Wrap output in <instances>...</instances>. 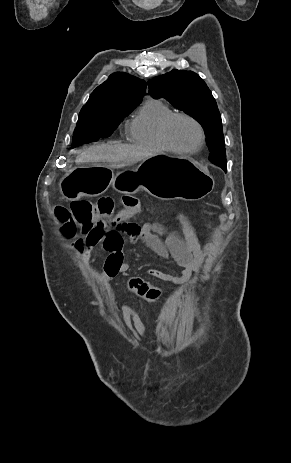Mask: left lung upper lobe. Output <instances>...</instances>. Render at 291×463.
<instances>
[{"mask_svg":"<svg viewBox=\"0 0 291 463\" xmlns=\"http://www.w3.org/2000/svg\"><path fill=\"white\" fill-rule=\"evenodd\" d=\"M148 86L153 98H165L201 124L211 151L210 161L227 166L221 116L211 91L198 74L174 69L150 79Z\"/></svg>","mask_w":291,"mask_h":463,"instance_id":"obj_1","label":"left lung upper lobe"}]
</instances>
